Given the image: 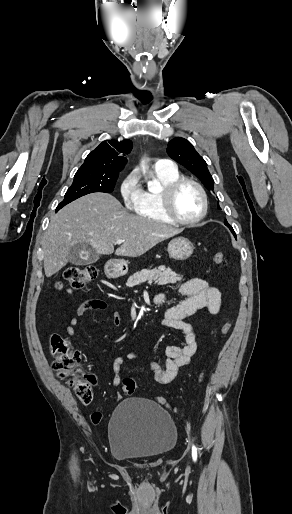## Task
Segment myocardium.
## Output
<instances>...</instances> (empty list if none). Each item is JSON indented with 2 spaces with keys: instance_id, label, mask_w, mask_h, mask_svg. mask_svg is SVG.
Returning <instances> with one entry per match:
<instances>
[{
  "instance_id": "obj_1",
  "label": "myocardium",
  "mask_w": 292,
  "mask_h": 514,
  "mask_svg": "<svg viewBox=\"0 0 292 514\" xmlns=\"http://www.w3.org/2000/svg\"><path fill=\"white\" fill-rule=\"evenodd\" d=\"M185 185L193 186L198 191L201 200L200 212L195 218L191 220L180 219L173 210L174 195L179 188ZM157 198L163 214L169 222L174 224L184 226L194 225L200 222L205 217L207 212V196L205 190L198 182L191 179L179 178L170 184L162 186L160 191L157 193Z\"/></svg>"
}]
</instances>
